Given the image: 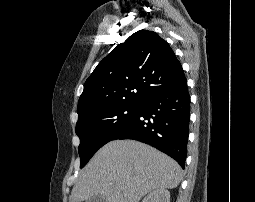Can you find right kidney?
I'll return each instance as SVG.
<instances>
[{
    "instance_id": "obj_1",
    "label": "right kidney",
    "mask_w": 255,
    "mask_h": 202,
    "mask_svg": "<svg viewBox=\"0 0 255 202\" xmlns=\"http://www.w3.org/2000/svg\"><path fill=\"white\" fill-rule=\"evenodd\" d=\"M142 202H170V192L164 188L157 189L149 193Z\"/></svg>"
}]
</instances>
